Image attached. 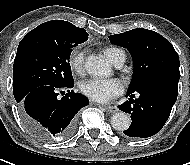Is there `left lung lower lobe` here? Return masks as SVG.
<instances>
[{
	"label": "left lung lower lobe",
	"instance_id": "left-lung-lower-lobe-1",
	"mask_svg": "<svg viewBox=\"0 0 190 165\" xmlns=\"http://www.w3.org/2000/svg\"><path fill=\"white\" fill-rule=\"evenodd\" d=\"M178 78L162 76L128 91L129 101L118 108L131 115L130 127L123 131L129 137L147 138L159 132L167 121L176 102ZM134 93H139L135 98Z\"/></svg>",
	"mask_w": 190,
	"mask_h": 165
}]
</instances>
